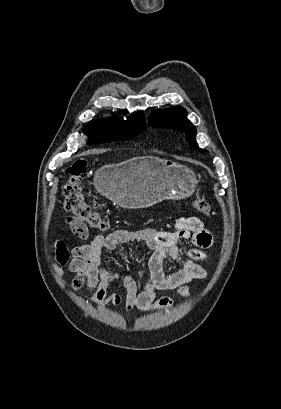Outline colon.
Wrapping results in <instances>:
<instances>
[{
	"mask_svg": "<svg viewBox=\"0 0 281 409\" xmlns=\"http://www.w3.org/2000/svg\"><path fill=\"white\" fill-rule=\"evenodd\" d=\"M86 171L87 162L84 159H78L67 167V180L63 187L66 198L64 208L73 216L74 227L78 233L84 232L83 225L94 231L109 232L112 226L108 218L85 202L82 180ZM193 207L203 215L210 214V206L201 195L194 198Z\"/></svg>",
	"mask_w": 281,
	"mask_h": 409,
	"instance_id": "obj_1",
	"label": "colon"
}]
</instances>
